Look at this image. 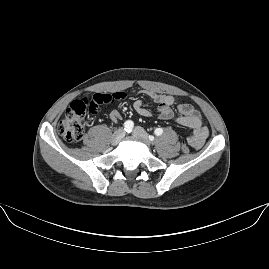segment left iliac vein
<instances>
[{
	"instance_id": "4c4485c4",
	"label": "left iliac vein",
	"mask_w": 269,
	"mask_h": 269,
	"mask_svg": "<svg viewBox=\"0 0 269 269\" xmlns=\"http://www.w3.org/2000/svg\"><path fill=\"white\" fill-rule=\"evenodd\" d=\"M133 135L136 138L142 139L148 146L151 144V141L146 131L142 127H135V129L133 130Z\"/></svg>"
}]
</instances>
